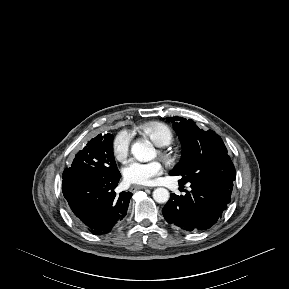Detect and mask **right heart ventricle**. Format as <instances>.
<instances>
[{
    "label": "right heart ventricle",
    "instance_id": "right-heart-ventricle-1",
    "mask_svg": "<svg viewBox=\"0 0 289 289\" xmlns=\"http://www.w3.org/2000/svg\"><path fill=\"white\" fill-rule=\"evenodd\" d=\"M139 132L147 136L155 145L166 146L173 140L171 129L160 122H150L139 127Z\"/></svg>",
    "mask_w": 289,
    "mask_h": 289
}]
</instances>
